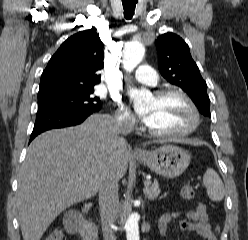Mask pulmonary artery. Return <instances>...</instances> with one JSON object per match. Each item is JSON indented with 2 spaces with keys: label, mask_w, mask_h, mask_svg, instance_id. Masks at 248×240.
<instances>
[{
  "label": "pulmonary artery",
  "mask_w": 248,
  "mask_h": 240,
  "mask_svg": "<svg viewBox=\"0 0 248 240\" xmlns=\"http://www.w3.org/2000/svg\"><path fill=\"white\" fill-rule=\"evenodd\" d=\"M134 77L137 81L148 85H155L158 80L156 72L148 65H140L134 72Z\"/></svg>",
  "instance_id": "pulmonary-artery-1"
}]
</instances>
